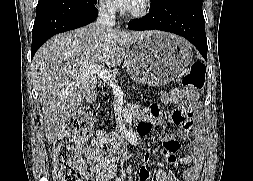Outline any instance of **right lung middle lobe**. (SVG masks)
<instances>
[{
	"label": "right lung middle lobe",
	"mask_w": 253,
	"mask_h": 181,
	"mask_svg": "<svg viewBox=\"0 0 253 181\" xmlns=\"http://www.w3.org/2000/svg\"><path fill=\"white\" fill-rule=\"evenodd\" d=\"M51 1H54V0H39V1H38V5H37V6H40V5L46 4V3L51 2Z\"/></svg>",
	"instance_id": "right-lung-middle-lobe-1"
}]
</instances>
